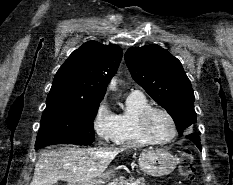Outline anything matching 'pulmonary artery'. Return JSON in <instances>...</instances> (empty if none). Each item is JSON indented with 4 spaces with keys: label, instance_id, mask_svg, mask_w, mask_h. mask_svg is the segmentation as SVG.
Wrapping results in <instances>:
<instances>
[{
    "label": "pulmonary artery",
    "instance_id": "obj_1",
    "mask_svg": "<svg viewBox=\"0 0 233 185\" xmlns=\"http://www.w3.org/2000/svg\"><path fill=\"white\" fill-rule=\"evenodd\" d=\"M131 93H142L140 90H138V89H133L132 91H131Z\"/></svg>",
    "mask_w": 233,
    "mask_h": 185
}]
</instances>
